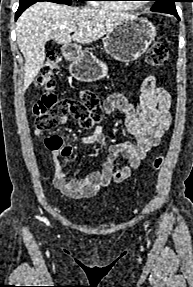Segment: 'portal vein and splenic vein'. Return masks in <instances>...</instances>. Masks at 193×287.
Instances as JSON below:
<instances>
[{
  "label": "portal vein and splenic vein",
  "instance_id": "portal-vein-and-splenic-vein-1",
  "mask_svg": "<svg viewBox=\"0 0 193 287\" xmlns=\"http://www.w3.org/2000/svg\"><path fill=\"white\" fill-rule=\"evenodd\" d=\"M77 30V28L73 27L70 29L71 32H75Z\"/></svg>",
  "mask_w": 193,
  "mask_h": 287
}]
</instances>
